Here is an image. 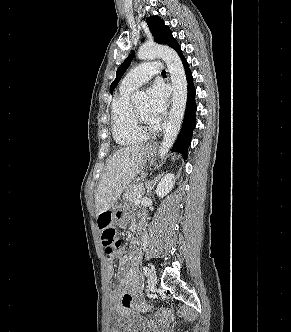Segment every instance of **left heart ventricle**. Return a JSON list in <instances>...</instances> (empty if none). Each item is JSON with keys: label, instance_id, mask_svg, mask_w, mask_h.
<instances>
[{"label": "left heart ventricle", "instance_id": "1", "mask_svg": "<svg viewBox=\"0 0 291 332\" xmlns=\"http://www.w3.org/2000/svg\"><path fill=\"white\" fill-rule=\"evenodd\" d=\"M138 113L143 118L144 121H146L148 124H151L149 118H148V102L143 101L135 105Z\"/></svg>", "mask_w": 291, "mask_h": 332}]
</instances>
